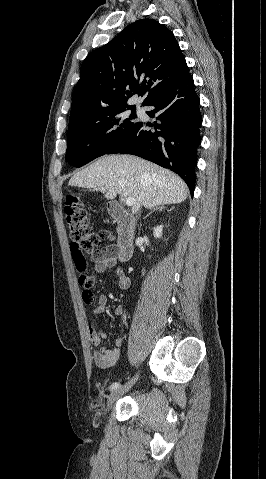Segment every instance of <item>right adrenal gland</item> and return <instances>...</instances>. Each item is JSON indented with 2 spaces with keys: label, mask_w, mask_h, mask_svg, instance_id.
Listing matches in <instances>:
<instances>
[{
  "label": "right adrenal gland",
  "mask_w": 266,
  "mask_h": 479,
  "mask_svg": "<svg viewBox=\"0 0 266 479\" xmlns=\"http://www.w3.org/2000/svg\"><path fill=\"white\" fill-rule=\"evenodd\" d=\"M163 209H165L164 205L154 208L149 214H147V215L144 217V219H146V218H147L150 214H152L154 211H156V210L162 211Z\"/></svg>",
  "instance_id": "1"
}]
</instances>
